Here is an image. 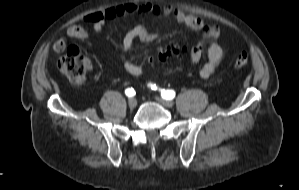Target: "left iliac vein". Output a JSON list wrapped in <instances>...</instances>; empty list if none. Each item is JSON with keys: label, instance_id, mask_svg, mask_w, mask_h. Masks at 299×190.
I'll list each match as a JSON object with an SVG mask.
<instances>
[{"label": "left iliac vein", "instance_id": "1", "mask_svg": "<svg viewBox=\"0 0 299 190\" xmlns=\"http://www.w3.org/2000/svg\"><path fill=\"white\" fill-rule=\"evenodd\" d=\"M156 100H157L158 103H160L161 105H163L165 107L171 108V107L174 106V103L172 101L165 100V99H162L160 97H156Z\"/></svg>", "mask_w": 299, "mask_h": 190}]
</instances>
